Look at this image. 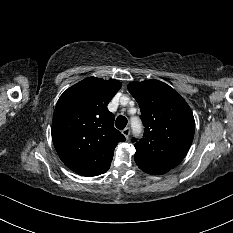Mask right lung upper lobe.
Returning <instances> with one entry per match:
<instances>
[{
  "instance_id": "right-lung-upper-lobe-1",
  "label": "right lung upper lobe",
  "mask_w": 233,
  "mask_h": 233,
  "mask_svg": "<svg viewBox=\"0 0 233 233\" xmlns=\"http://www.w3.org/2000/svg\"><path fill=\"white\" fill-rule=\"evenodd\" d=\"M120 88L117 80L89 77L60 96L52 140L60 159L72 171L89 177L105 173L116 145L126 140L114 128V115L107 109Z\"/></svg>"
}]
</instances>
